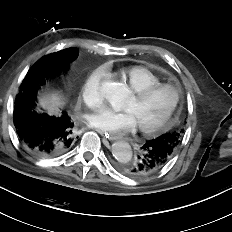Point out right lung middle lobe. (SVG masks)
Segmentation results:
<instances>
[{
  "label": "right lung middle lobe",
  "instance_id": "obj_1",
  "mask_svg": "<svg viewBox=\"0 0 232 232\" xmlns=\"http://www.w3.org/2000/svg\"><path fill=\"white\" fill-rule=\"evenodd\" d=\"M76 57V51L69 48L44 56L30 68L20 86V91L26 87L38 90L46 80L66 70Z\"/></svg>",
  "mask_w": 232,
  "mask_h": 232
}]
</instances>
